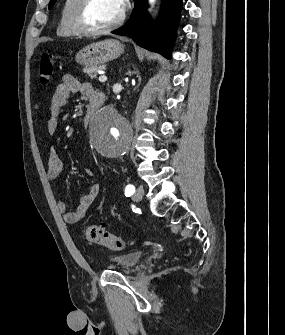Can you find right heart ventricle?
<instances>
[{"label":"right heart ventricle","mask_w":285,"mask_h":335,"mask_svg":"<svg viewBox=\"0 0 285 335\" xmlns=\"http://www.w3.org/2000/svg\"><path fill=\"white\" fill-rule=\"evenodd\" d=\"M78 1H64L61 11L60 22L57 28V35L64 39H77L79 31L74 24V12ZM93 60V59H88Z\"/></svg>","instance_id":"right-heart-ventricle-1"}]
</instances>
